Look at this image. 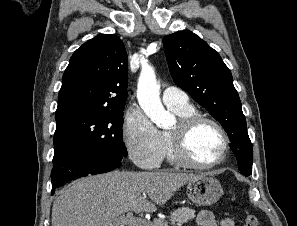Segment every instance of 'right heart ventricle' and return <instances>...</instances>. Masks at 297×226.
Here are the masks:
<instances>
[{"label":"right heart ventricle","instance_id":"right-heart-ventricle-1","mask_svg":"<svg viewBox=\"0 0 297 226\" xmlns=\"http://www.w3.org/2000/svg\"><path fill=\"white\" fill-rule=\"evenodd\" d=\"M168 108L180 118L189 117L196 114L195 108L191 105L185 108H177V107H168ZM161 134L165 144V156L170 161V163L177 164V160L174 156L168 134L166 132H163Z\"/></svg>","mask_w":297,"mask_h":226}]
</instances>
